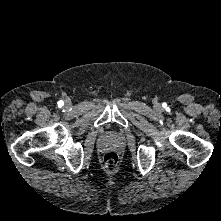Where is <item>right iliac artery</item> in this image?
<instances>
[{"instance_id":"1","label":"right iliac artery","mask_w":221,"mask_h":221,"mask_svg":"<svg viewBox=\"0 0 221 221\" xmlns=\"http://www.w3.org/2000/svg\"><path fill=\"white\" fill-rule=\"evenodd\" d=\"M63 105H64L63 100L58 101V106H59V107H62Z\"/></svg>"}]
</instances>
